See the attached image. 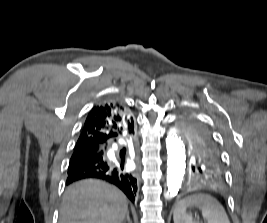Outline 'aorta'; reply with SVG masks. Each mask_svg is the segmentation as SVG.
<instances>
[{
	"label": "aorta",
	"mask_w": 267,
	"mask_h": 223,
	"mask_svg": "<svg viewBox=\"0 0 267 223\" xmlns=\"http://www.w3.org/2000/svg\"><path fill=\"white\" fill-rule=\"evenodd\" d=\"M167 147V191L166 198L176 196L184 180L186 151L177 127H172L166 137Z\"/></svg>",
	"instance_id": "obj_1"
}]
</instances>
